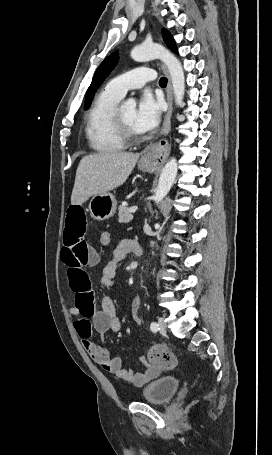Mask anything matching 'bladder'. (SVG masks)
<instances>
[{"label":"bladder","instance_id":"bladder-1","mask_svg":"<svg viewBox=\"0 0 272 455\" xmlns=\"http://www.w3.org/2000/svg\"><path fill=\"white\" fill-rule=\"evenodd\" d=\"M180 381L173 375L160 376L148 384L142 391V399L151 404H164L168 402L177 392Z\"/></svg>","mask_w":272,"mask_h":455}]
</instances>
